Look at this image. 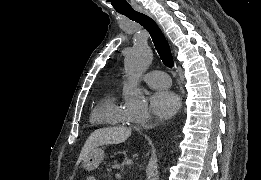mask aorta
<instances>
[{"label": "aorta", "instance_id": "762f6f07", "mask_svg": "<svg viewBox=\"0 0 261 180\" xmlns=\"http://www.w3.org/2000/svg\"><path fill=\"white\" fill-rule=\"evenodd\" d=\"M153 59V53L149 45L145 42L137 43L126 52L125 71L131 81L137 80L148 68ZM125 106L130 110H143L147 107V102L137 83L131 84L123 91ZM155 164L148 167V177L153 176Z\"/></svg>", "mask_w": 261, "mask_h": 180}]
</instances>
